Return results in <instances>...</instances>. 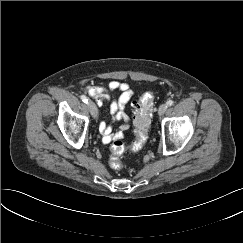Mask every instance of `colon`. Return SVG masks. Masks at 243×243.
Listing matches in <instances>:
<instances>
[{"instance_id":"colon-1","label":"colon","mask_w":243,"mask_h":243,"mask_svg":"<svg viewBox=\"0 0 243 243\" xmlns=\"http://www.w3.org/2000/svg\"><path fill=\"white\" fill-rule=\"evenodd\" d=\"M134 106V139L129 147L133 152H137L147 141L148 130L151 122L152 112L154 110V92L148 91L142 95ZM126 151V146L120 139L113 141L110 152V166L115 170L122 168L120 157Z\"/></svg>"}]
</instances>
